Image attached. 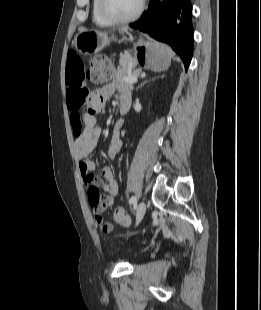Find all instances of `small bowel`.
Wrapping results in <instances>:
<instances>
[{
  "label": "small bowel",
  "mask_w": 261,
  "mask_h": 310,
  "mask_svg": "<svg viewBox=\"0 0 261 310\" xmlns=\"http://www.w3.org/2000/svg\"><path fill=\"white\" fill-rule=\"evenodd\" d=\"M84 77L82 60L75 52H69L65 76L66 97L68 106L71 109V123L75 137V151L79 160V172L87 189H90L93 184H102L108 195L102 203L92 206V211L97 218L101 217V214L111 206L112 198L119 194V183L108 166L103 167L98 176L96 174V163L89 159L100 135L96 114L103 110L106 99L116 91L121 93V97H130V90L122 79L121 71L118 70L110 83L90 93L88 108L80 114L81 103L87 94ZM122 125L123 121L117 120L113 127L108 147V156L111 159L116 157L122 147Z\"/></svg>",
  "instance_id": "c3829d8e"
}]
</instances>
